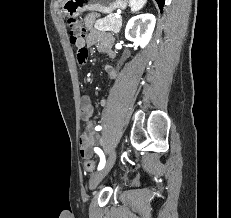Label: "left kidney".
<instances>
[{
	"label": "left kidney",
	"mask_w": 231,
	"mask_h": 218,
	"mask_svg": "<svg viewBox=\"0 0 231 218\" xmlns=\"http://www.w3.org/2000/svg\"><path fill=\"white\" fill-rule=\"evenodd\" d=\"M156 18L145 13L132 17L126 26L125 37L136 45L144 48L150 41L155 28Z\"/></svg>",
	"instance_id": "obj_1"
}]
</instances>
